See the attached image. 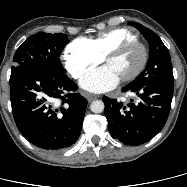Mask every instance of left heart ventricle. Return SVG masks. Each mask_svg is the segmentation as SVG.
Masks as SVG:
<instances>
[{
  "label": "left heart ventricle",
  "mask_w": 187,
  "mask_h": 187,
  "mask_svg": "<svg viewBox=\"0 0 187 187\" xmlns=\"http://www.w3.org/2000/svg\"><path fill=\"white\" fill-rule=\"evenodd\" d=\"M142 49L132 47L118 57L109 58L106 65L110 66L120 79L131 74L142 60Z\"/></svg>",
  "instance_id": "b2bd125f"
}]
</instances>
